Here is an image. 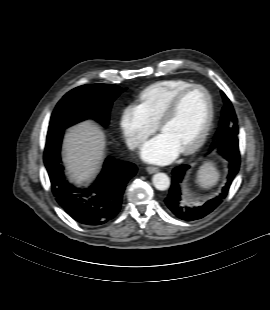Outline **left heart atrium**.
<instances>
[{
    "label": "left heart atrium",
    "instance_id": "39dd6f15",
    "mask_svg": "<svg viewBox=\"0 0 270 310\" xmlns=\"http://www.w3.org/2000/svg\"><path fill=\"white\" fill-rule=\"evenodd\" d=\"M179 153V149L163 133L147 141L141 150L144 160L160 164L171 162Z\"/></svg>",
    "mask_w": 270,
    "mask_h": 310
}]
</instances>
